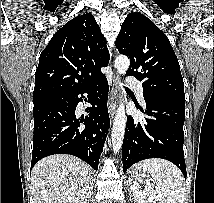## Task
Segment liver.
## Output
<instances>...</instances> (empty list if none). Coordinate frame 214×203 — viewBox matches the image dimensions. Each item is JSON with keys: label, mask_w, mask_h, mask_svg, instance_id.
<instances>
[{"label": "liver", "mask_w": 214, "mask_h": 203, "mask_svg": "<svg viewBox=\"0 0 214 203\" xmlns=\"http://www.w3.org/2000/svg\"><path fill=\"white\" fill-rule=\"evenodd\" d=\"M91 172L88 164L67 154L40 160L31 174L34 203H89Z\"/></svg>", "instance_id": "liver-1"}]
</instances>
